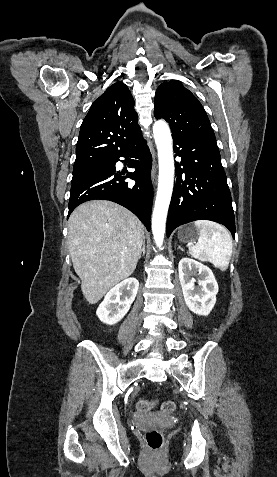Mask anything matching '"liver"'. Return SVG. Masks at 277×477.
I'll return each mask as SVG.
<instances>
[{"instance_id":"6515ba94","label":"liver","mask_w":277,"mask_h":477,"mask_svg":"<svg viewBox=\"0 0 277 477\" xmlns=\"http://www.w3.org/2000/svg\"><path fill=\"white\" fill-rule=\"evenodd\" d=\"M144 239L140 220L106 200L78 206L68 221V247L81 290L90 304L135 270Z\"/></svg>"}]
</instances>
